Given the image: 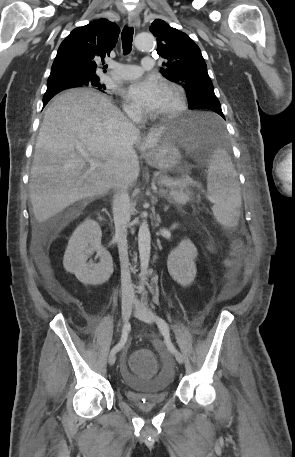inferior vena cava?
<instances>
[{
    "label": "inferior vena cava",
    "instance_id": "602c4592",
    "mask_svg": "<svg viewBox=\"0 0 295 457\" xmlns=\"http://www.w3.org/2000/svg\"><path fill=\"white\" fill-rule=\"evenodd\" d=\"M127 114L133 122H137L140 119L137 111H128ZM127 189L128 185L126 182L120 179L113 196V216L121 264L122 297L133 299L135 293L129 271L127 246V224L130 221V201Z\"/></svg>",
    "mask_w": 295,
    "mask_h": 457
}]
</instances>
